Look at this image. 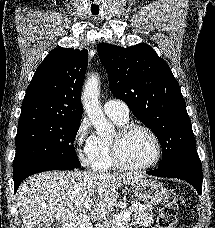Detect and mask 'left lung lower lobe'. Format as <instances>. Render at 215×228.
<instances>
[{"instance_id":"left-lung-lower-lobe-1","label":"left lung lower lobe","mask_w":215,"mask_h":228,"mask_svg":"<svg viewBox=\"0 0 215 228\" xmlns=\"http://www.w3.org/2000/svg\"><path fill=\"white\" fill-rule=\"evenodd\" d=\"M146 173L185 180L196 188L198 194L202 192V166L196 150L188 151L158 169Z\"/></svg>"}]
</instances>
